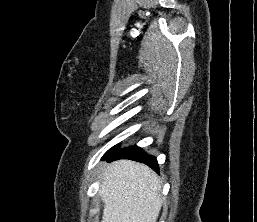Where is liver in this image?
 Returning <instances> with one entry per match:
<instances>
[{
	"instance_id": "liver-1",
	"label": "liver",
	"mask_w": 257,
	"mask_h": 222,
	"mask_svg": "<svg viewBox=\"0 0 257 222\" xmlns=\"http://www.w3.org/2000/svg\"><path fill=\"white\" fill-rule=\"evenodd\" d=\"M99 195L104 203L101 222H157L161 181L144 164L130 160L110 163L103 171Z\"/></svg>"
}]
</instances>
